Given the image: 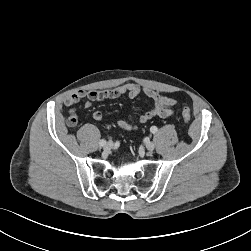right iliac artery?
Masks as SVG:
<instances>
[{"mask_svg":"<svg viewBox=\"0 0 251 251\" xmlns=\"http://www.w3.org/2000/svg\"><path fill=\"white\" fill-rule=\"evenodd\" d=\"M105 144H106V140H104V139L100 140L99 145L101 147L105 146Z\"/></svg>","mask_w":251,"mask_h":251,"instance_id":"1","label":"right iliac artery"}]
</instances>
